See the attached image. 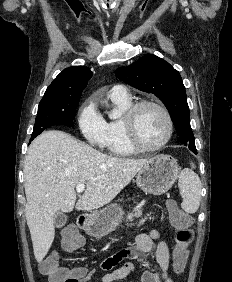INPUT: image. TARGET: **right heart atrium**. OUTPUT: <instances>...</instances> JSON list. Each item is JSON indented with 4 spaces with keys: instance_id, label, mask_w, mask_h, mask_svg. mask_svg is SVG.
I'll list each match as a JSON object with an SVG mask.
<instances>
[{
    "instance_id": "1",
    "label": "right heart atrium",
    "mask_w": 232,
    "mask_h": 282,
    "mask_svg": "<svg viewBox=\"0 0 232 282\" xmlns=\"http://www.w3.org/2000/svg\"><path fill=\"white\" fill-rule=\"evenodd\" d=\"M78 126L88 143L103 147L106 139V121L92 101L83 104L78 115Z\"/></svg>"
}]
</instances>
